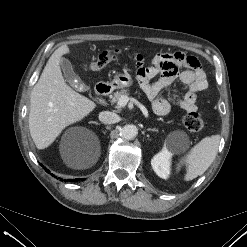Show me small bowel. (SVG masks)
Returning <instances> with one entry per match:
<instances>
[{
  "label": "small bowel",
  "instance_id": "obj_1",
  "mask_svg": "<svg viewBox=\"0 0 247 247\" xmlns=\"http://www.w3.org/2000/svg\"><path fill=\"white\" fill-rule=\"evenodd\" d=\"M134 59L139 84L157 115L165 116L170 112V102L160 94L176 80L188 87L186 94L174 97L176 104L185 111L196 110L197 94L207 88L205 73L196 57L182 52L159 53L147 67L143 66L141 56ZM159 73L160 77L154 80Z\"/></svg>",
  "mask_w": 247,
  "mask_h": 247
}]
</instances>
